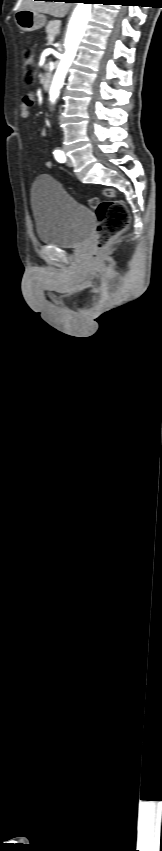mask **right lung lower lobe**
Listing matches in <instances>:
<instances>
[{
    "label": "right lung lower lobe",
    "mask_w": 162,
    "mask_h": 851,
    "mask_svg": "<svg viewBox=\"0 0 162 851\" xmlns=\"http://www.w3.org/2000/svg\"><path fill=\"white\" fill-rule=\"evenodd\" d=\"M45 1H56V0H45ZM64 1L65 2H76V0H64ZM86 1L91 2L92 0H86Z\"/></svg>",
    "instance_id": "right-lung-lower-lobe-1"
}]
</instances>
